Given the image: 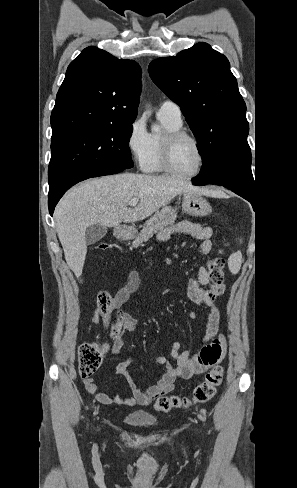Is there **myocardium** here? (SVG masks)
<instances>
[{"label":"myocardium","instance_id":"myocardium-1","mask_svg":"<svg viewBox=\"0 0 297 488\" xmlns=\"http://www.w3.org/2000/svg\"><path fill=\"white\" fill-rule=\"evenodd\" d=\"M182 140L192 141L199 153V164L197 168L191 173H181L177 171L173 166V161H172L173 150L177 145V143H179ZM160 159H161V165L167 173L178 178L190 179L196 177L202 172L206 162V153L204 151L201 142L194 135L184 130H178V131L168 132L162 138Z\"/></svg>","mask_w":297,"mask_h":488}]
</instances>
